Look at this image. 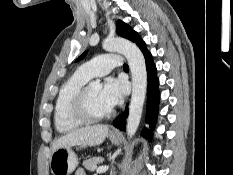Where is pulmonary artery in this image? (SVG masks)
Instances as JSON below:
<instances>
[{"label":"pulmonary artery","mask_w":233,"mask_h":175,"mask_svg":"<svg viewBox=\"0 0 233 175\" xmlns=\"http://www.w3.org/2000/svg\"><path fill=\"white\" fill-rule=\"evenodd\" d=\"M123 58L116 54H103L78 67L76 74L89 80L108 74L115 68L122 67Z\"/></svg>","instance_id":"e3ab8cb5"}]
</instances>
